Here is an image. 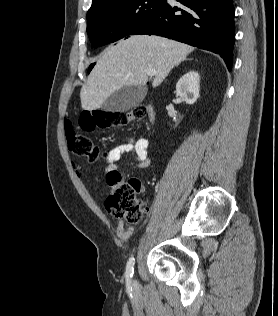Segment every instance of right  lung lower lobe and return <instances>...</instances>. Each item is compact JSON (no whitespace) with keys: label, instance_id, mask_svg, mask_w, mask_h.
<instances>
[{"label":"right lung lower lobe","instance_id":"98d812e1","mask_svg":"<svg viewBox=\"0 0 278 316\" xmlns=\"http://www.w3.org/2000/svg\"><path fill=\"white\" fill-rule=\"evenodd\" d=\"M164 0L159 9L131 35H158L219 54L228 70L235 43L232 0Z\"/></svg>","mask_w":278,"mask_h":316}]
</instances>
